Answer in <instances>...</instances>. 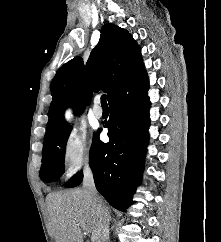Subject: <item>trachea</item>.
Wrapping results in <instances>:
<instances>
[{
	"label": "trachea",
	"mask_w": 221,
	"mask_h": 242,
	"mask_svg": "<svg viewBox=\"0 0 221 242\" xmlns=\"http://www.w3.org/2000/svg\"><path fill=\"white\" fill-rule=\"evenodd\" d=\"M101 105H102V106H108V105H107L106 95H105V94H103V95L101 96Z\"/></svg>",
	"instance_id": "3493384b"
}]
</instances>
